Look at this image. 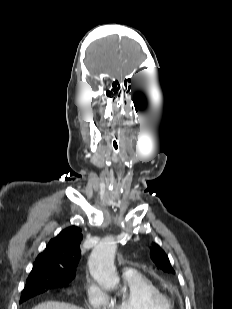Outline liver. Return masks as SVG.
<instances>
[{"label":"liver","instance_id":"6515ba94","mask_svg":"<svg viewBox=\"0 0 232 309\" xmlns=\"http://www.w3.org/2000/svg\"><path fill=\"white\" fill-rule=\"evenodd\" d=\"M32 309H83L71 304L58 301H48L35 306Z\"/></svg>","mask_w":232,"mask_h":309}]
</instances>
